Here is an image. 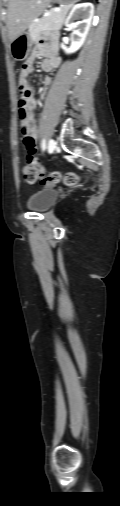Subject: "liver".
<instances>
[{
  "label": "liver",
  "instance_id": "6515ba94",
  "mask_svg": "<svg viewBox=\"0 0 120 506\" xmlns=\"http://www.w3.org/2000/svg\"><path fill=\"white\" fill-rule=\"evenodd\" d=\"M51 0H9L7 27L9 40L23 33L40 16Z\"/></svg>",
  "mask_w": 120,
  "mask_h": 506
}]
</instances>
